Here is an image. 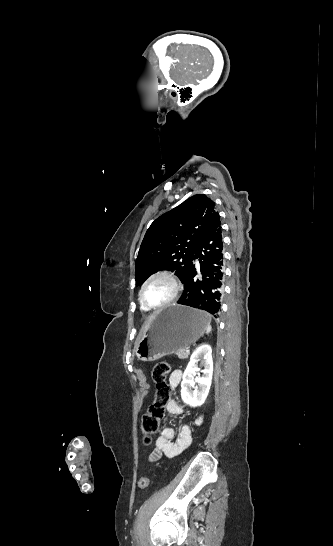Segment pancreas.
<instances>
[{"instance_id":"obj_1","label":"pancreas","mask_w":333,"mask_h":546,"mask_svg":"<svg viewBox=\"0 0 333 546\" xmlns=\"http://www.w3.org/2000/svg\"><path fill=\"white\" fill-rule=\"evenodd\" d=\"M176 355L179 359H186L189 356V353H187L186 349H180L176 352Z\"/></svg>"}]
</instances>
